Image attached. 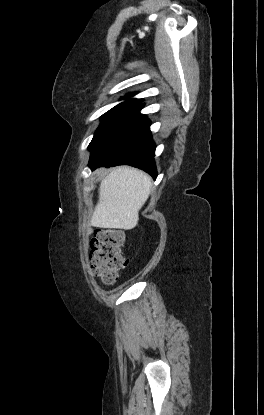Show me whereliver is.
Segmentation results:
<instances>
[{
	"instance_id": "1",
	"label": "liver",
	"mask_w": 264,
	"mask_h": 415,
	"mask_svg": "<svg viewBox=\"0 0 264 415\" xmlns=\"http://www.w3.org/2000/svg\"><path fill=\"white\" fill-rule=\"evenodd\" d=\"M151 187L152 179L145 172L128 166L114 168L101 181L90 224L98 228L133 229Z\"/></svg>"
}]
</instances>
